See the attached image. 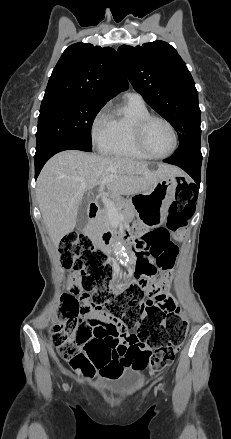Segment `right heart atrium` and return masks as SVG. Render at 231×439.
Segmentation results:
<instances>
[{"label":"right heart atrium","instance_id":"d8ad5b80","mask_svg":"<svg viewBox=\"0 0 231 439\" xmlns=\"http://www.w3.org/2000/svg\"><path fill=\"white\" fill-rule=\"evenodd\" d=\"M109 132V114L106 106L99 109L94 115L91 122V139L93 143L101 147L108 138Z\"/></svg>","mask_w":231,"mask_h":439}]
</instances>
